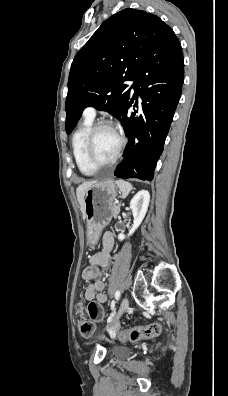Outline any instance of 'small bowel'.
Returning a JSON list of instances; mask_svg holds the SVG:
<instances>
[{
    "label": "small bowel",
    "mask_w": 228,
    "mask_h": 396,
    "mask_svg": "<svg viewBox=\"0 0 228 396\" xmlns=\"http://www.w3.org/2000/svg\"><path fill=\"white\" fill-rule=\"evenodd\" d=\"M114 246V237L110 232H106L102 236V250L90 257L89 265L84 269L82 278L91 281L85 289V298L87 300H96L99 304L107 301V295L104 292L105 284L100 279L99 268L108 267L112 254L111 251Z\"/></svg>",
    "instance_id": "c3829d8e"
}]
</instances>
